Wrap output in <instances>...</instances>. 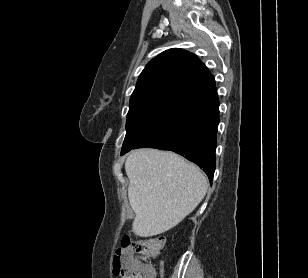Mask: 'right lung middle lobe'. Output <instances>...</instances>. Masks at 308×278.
Segmentation results:
<instances>
[{
	"mask_svg": "<svg viewBox=\"0 0 308 278\" xmlns=\"http://www.w3.org/2000/svg\"><path fill=\"white\" fill-rule=\"evenodd\" d=\"M177 113L154 112L128 117L121 155L162 129Z\"/></svg>",
	"mask_w": 308,
	"mask_h": 278,
	"instance_id": "right-lung-middle-lobe-1",
	"label": "right lung middle lobe"
}]
</instances>
